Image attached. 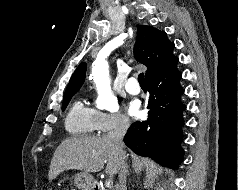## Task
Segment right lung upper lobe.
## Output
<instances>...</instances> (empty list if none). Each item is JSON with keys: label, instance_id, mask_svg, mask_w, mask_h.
I'll return each mask as SVG.
<instances>
[{"label": "right lung upper lobe", "instance_id": "right-lung-upper-lobe-1", "mask_svg": "<svg viewBox=\"0 0 238 190\" xmlns=\"http://www.w3.org/2000/svg\"><path fill=\"white\" fill-rule=\"evenodd\" d=\"M137 40L134 45V57L147 66L146 80L161 73L177 58L173 55L174 43L167 39L166 33L152 26H137ZM86 64L81 63L67 86L65 95L76 93L83 84ZM64 95V96H65Z\"/></svg>", "mask_w": 238, "mask_h": 190}]
</instances>
